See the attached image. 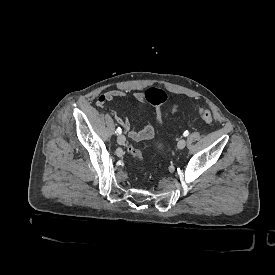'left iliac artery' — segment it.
Segmentation results:
<instances>
[{"mask_svg": "<svg viewBox=\"0 0 275 275\" xmlns=\"http://www.w3.org/2000/svg\"><path fill=\"white\" fill-rule=\"evenodd\" d=\"M189 135V132L186 130L184 133H183V136L186 137Z\"/></svg>", "mask_w": 275, "mask_h": 275, "instance_id": "obj_1", "label": "left iliac artery"}]
</instances>
